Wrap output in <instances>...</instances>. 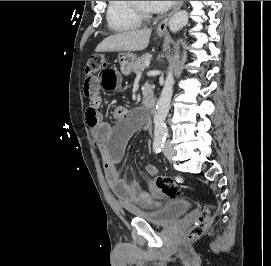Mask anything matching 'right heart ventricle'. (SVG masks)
Masks as SVG:
<instances>
[{"instance_id":"right-heart-ventricle-1","label":"right heart ventricle","mask_w":271,"mask_h":266,"mask_svg":"<svg viewBox=\"0 0 271 266\" xmlns=\"http://www.w3.org/2000/svg\"><path fill=\"white\" fill-rule=\"evenodd\" d=\"M106 18L109 27L116 32L135 30L142 24L132 12L129 1H108Z\"/></svg>"}]
</instances>
